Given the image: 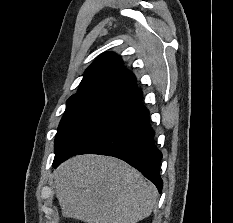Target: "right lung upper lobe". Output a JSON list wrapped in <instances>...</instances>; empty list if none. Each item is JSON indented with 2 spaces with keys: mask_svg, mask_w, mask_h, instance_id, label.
<instances>
[{
  "mask_svg": "<svg viewBox=\"0 0 233 223\" xmlns=\"http://www.w3.org/2000/svg\"><path fill=\"white\" fill-rule=\"evenodd\" d=\"M134 87H136L134 74L125 70L120 57L108 52L98 57L85 71L78 92L73 96L101 92L124 94Z\"/></svg>",
  "mask_w": 233,
  "mask_h": 223,
  "instance_id": "1",
  "label": "right lung upper lobe"
}]
</instances>
